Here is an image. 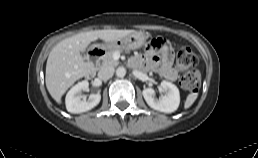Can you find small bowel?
I'll return each mask as SVG.
<instances>
[{
  "instance_id": "c3829d8e",
  "label": "small bowel",
  "mask_w": 258,
  "mask_h": 158,
  "mask_svg": "<svg viewBox=\"0 0 258 158\" xmlns=\"http://www.w3.org/2000/svg\"><path fill=\"white\" fill-rule=\"evenodd\" d=\"M173 61V48L167 42H164L159 50L149 47L143 56L134 57L131 63L139 66L142 70H155L168 81H175L177 71L173 67Z\"/></svg>"
}]
</instances>
